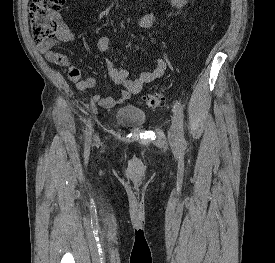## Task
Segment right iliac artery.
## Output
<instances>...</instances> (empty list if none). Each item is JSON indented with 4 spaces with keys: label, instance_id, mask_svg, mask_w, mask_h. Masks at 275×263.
Returning a JSON list of instances; mask_svg holds the SVG:
<instances>
[{
    "label": "right iliac artery",
    "instance_id": "1",
    "mask_svg": "<svg viewBox=\"0 0 275 263\" xmlns=\"http://www.w3.org/2000/svg\"><path fill=\"white\" fill-rule=\"evenodd\" d=\"M87 137L91 135V122L90 120L87 123V130H86Z\"/></svg>",
    "mask_w": 275,
    "mask_h": 263
}]
</instances>
